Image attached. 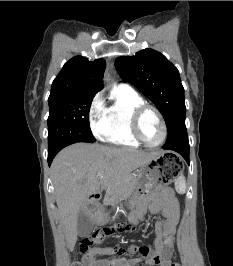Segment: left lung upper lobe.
Instances as JSON below:
<instances>
[{
	"label": "left lung upper lobe",
	"instance_id": "1",
	"mask_svg": "<svg viewBox=\"0 0 233 266\" xmlns=\"http://www.w3.org/2000/svg\"><path fill=\"white\" fill-rule=\"evenodd\" d=\"M120 77L138 88L162 113L168 137L185 126L184 88L178 69L153 49L135 56H121L115 61Z\"/></svg>",
	"mask_w": 233,
	"mask_h": 266
}]
</instances>
